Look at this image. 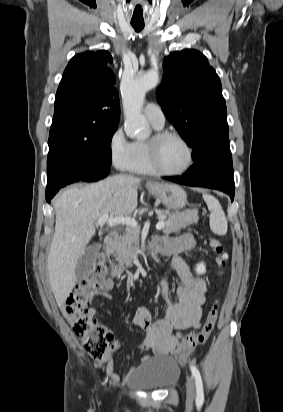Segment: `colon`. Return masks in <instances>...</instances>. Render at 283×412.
<instances>
[{
	"instance_id": "5ec220e1",
	"label": "colon",
	"mask_w": 283,
	"mask_h": 412,
	"mask_svg": "<svg viewBox=\"0 0 283 412\" xmlns=\"http://www.w3.org/2000/svg\"><path fill=\"white\" fill-rule=\"evenodd\" d=\"M209 246L215 254L216 276L219 278L227 263V255L220 241L210 237ZM108 272V263L103 257H97L85 279L71 294L66 302V315L73 334L81 341L88 354L95 359H102L113 333L99 323L89 308L94 291L104 281ZM219 312V299L214 296L211 300L206 319L200 330L192 332L179 342L178 352L184 353L204 344L212 333Z\"/></svg>"
}]
</instances>
